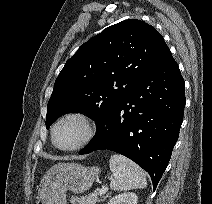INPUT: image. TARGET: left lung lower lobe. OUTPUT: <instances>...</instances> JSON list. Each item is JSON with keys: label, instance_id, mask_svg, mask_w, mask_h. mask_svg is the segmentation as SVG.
<instances>
[{"label": "left lung lower lobe", "instance_id": "left-lung-lower-lobe-1", "mask_svg": "<svg viewBox=\"0 0 212 204\" xmlns=\"http://www.w3.org/2000/svg\"><path fill=\"white\" fill-rule=\"evenodd\" d=\"M184 79L169 51L106 115L80 151L107 149L146 170L156 188L178 139L185 107Z\"/></svg>", "mask_w": 212, "mask_h": 204}]
</instances>
